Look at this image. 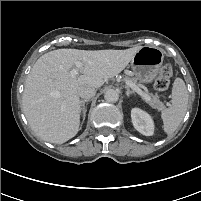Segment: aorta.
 I'll use <instances>...</instances> for the list:
<instances>
[{"instance_id":"aorta-1","label":"aorta","mask_w":201,"mask_h":201,"mask_svg":"<svg viewBox=\"0 0 201 201\" xmlns=\"http://www.w3.org/2000/svg\"><path fill=\"white\" fill-rule=\"evenodd\" d=\"M104 98L107 102H117L119 99V93L114 89H108L104 94Z\"/></svg>"}]
</instances>
